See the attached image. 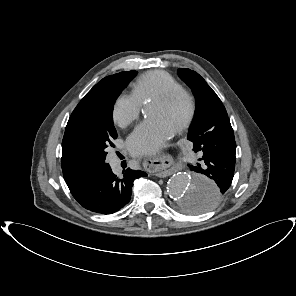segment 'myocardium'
I'll return each instance as SVG.
<instances>
[{"label":"myocardium","instance_id":"f54148a6","mask_svg":"<svg viewBox=\"0 0 296 296\" xmlns=\"http://www.w3.org/2000/svg\"><path fill=\"white\" fill-rule=\"evenodd\" d=\"M179 99H183L186 102V113L174 129V132L176 133L185 130L193 120L196 111V101L193 94L183 87H178L167 91L151 100V103L170 104Z\"/></svg>","mask_w":296,"mask_h":296}]
</instances>
